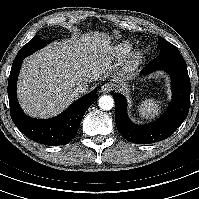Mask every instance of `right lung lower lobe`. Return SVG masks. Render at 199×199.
I'll return each mask as SVG.
<instances>
[{"mask_svg":"<svg viewBox=\"0 0 199 199\" xmlns=\"http://www.w3.org/2000/svg\"><path fill=\"white\" fill-rule=\"evenodd\" d=\"M24 58H16L10 71L8 97L11 118L16 127L29 139L49 146L65 145L74 138L85 112L98 99L97 91L93 90L75 101L55 118L33 119L22 111L16 97V83Z\"/></svg>","mask_w":199,"mask_h":199,"instance_id":"right-lung-lower-lobe-1","label":"right lung lower lobe"}]
</instances>
